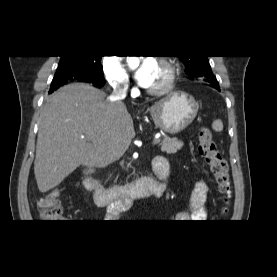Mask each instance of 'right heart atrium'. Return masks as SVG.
Here are the masks:
<instances>
[{"label":"right heart atrium","instance_id":"obj_1","mask_svg":"<svg viewBox=\"0 0 277 277\" xmlns=\"http://www.w3.org/2000/svg\"><path fill=\"white\" fill-rule=\"evenodd\" d=\"M106 81L115 89H126L130 77L120 59L115 55H107L102 61Z\"/></svg>","mask_w":277,"mask_h":277}]
</instances>
